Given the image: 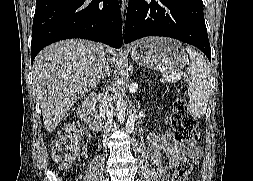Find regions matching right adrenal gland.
I'll use <instances>...</instances> for the list:
<instances>
[{"instance_id": "1", "label": "right adrenal gland", "mask_w": 253, "mask_h": 181, "mask_svg": "<svg viewBox=\"0 0 253 181\" xmlns=\"http://www.w3.org/2000/svg\"><path fill=\"white\" fill-rule=\"evenodd\" d=\"M106 76H110L109 67L106 66L104 73L102 74L101 78L104 79Z\"/></svg>"}]
</instances>
